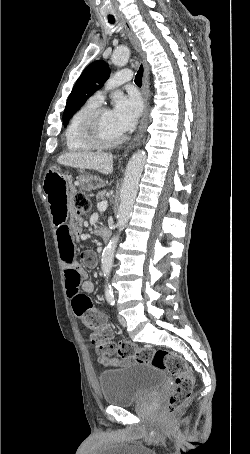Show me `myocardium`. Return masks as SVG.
I'll list each match as a JSON object with an SVG mask.
<instances>
[{
	"instance_id": "f54148a6",
	"label": "myocardium",
	"mask_w": 250,
	"mask_h": 454,
	"mask_svg": "<svg viewBox=\"0 0 250 454\" xmlns=\"http://www.w3.org/2000/svg\"><path fill=\"white\" fill-rule=\"evenodd\" d=\"M110 111L106 107H97L92 110L84 119L82 124V136L84 140L95 148H111L120 144L124 140V136L121 135L115 139H105L100 131V119L101 116Z\"/></svg>"
}]
</instances>
